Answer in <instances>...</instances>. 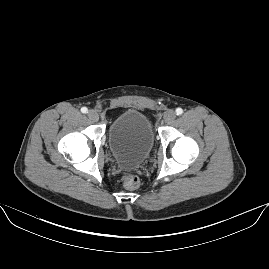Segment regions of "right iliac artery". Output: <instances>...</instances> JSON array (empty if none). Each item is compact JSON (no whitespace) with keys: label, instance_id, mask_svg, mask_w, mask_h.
I'll use <instances>...</instances> for the list:
<instances>
[{"label":"right iliac artery","instance_id":"82829eb1","mask_svg":"<svg viewBox=\"0 0 269 269\" xmlns=\"http://www.w3.org/2000/svg\"><path fill=\"white\" fill-rule=\"evenodd\" d=\"M81 112H82V113H87V112H88V109H87L86 107H82V108H81Z\"/></svg>","mask_w":269,"mask_h":269}]
</instances>
